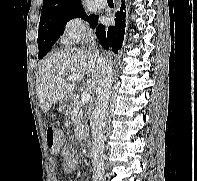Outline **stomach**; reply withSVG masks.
Listing matches in <instances>:
<instances>
[{
    "instance_id": "1",
    "label": "stomach",
    "mask_w": 197,
    "mask_h": 181,
    "mask_svg": "<svg viewBox=\"0 0 197 181\" xmlns=\"http://www.w3.org/2000/svg\"><path fill=\"white\" fill-rule=\"evenodd\" d=\"M70 98L62 100L59 104V110L64 112L70 108Z\"/></svg>"
}]
</instances>
